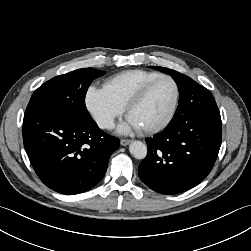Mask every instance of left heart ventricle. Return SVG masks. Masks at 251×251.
Here are the masks:
<instances>
[{"label": "left heart ventricle", "mask_w": 251, "mask_h": 251, "mask_svg": "<svg viewBox=\"0 0 251 251\" xmlns=\"http://www.w3.org/2000/svg\"><path fill=\"white\" fill-rule=\"evenodd\" d=\"M174 95L172 82L167 79L160 80L150 88L145 98L130 111L128 117L142 130L156 126L168 115Z\"/></svg>", "instance_id": "left-heart-ventricle-1"}]
</instances>
